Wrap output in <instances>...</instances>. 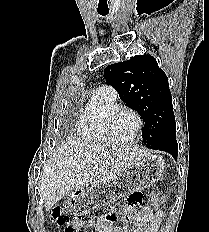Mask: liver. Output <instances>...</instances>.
<instances>
[{
	"mask_svg": "<svg viewBox=\"0 0 209 232\" xmlns=\"http://www.w3.org/2000/svg\"><path fill=\"white\" fill-rule=\"evenodd\" d=\"M150 153L138 146L68 141L50 158L41 177L46 211L73 190L105 185ZM95 162V163H93Z\"/></svg>",
	"mask_w": 209,
	"mask_h": 232,
	"instance_id": "6515ba94",
	"label": "liver"
}]
</instances>
